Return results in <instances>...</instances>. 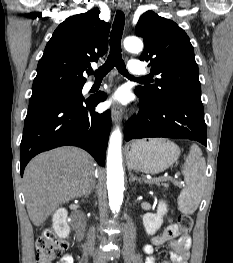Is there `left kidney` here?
<instances>
[{"instance_id": "obj_1", "label": "left kidney", "mask_w": 233, "mask_h": 263, "mask_svg": "<svg viewBox=\"0 0 233 263\" xmlns=\"http://www.w3.org/2000/svg\"><path fill=\"white\" fill-rule=\"evenodd\" d=\"M167 213V204L160 201L157 213H147L143 216V225L148 235H154L163 223V216Z\"/></svg>"}]
</instances>
